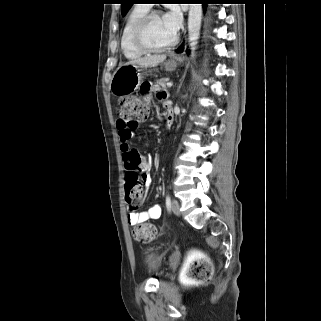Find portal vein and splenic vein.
Here are the masks:
<instances>
[{"label": "portal vein and splenic vein", "instance_id": "1", "mask_svg": "<svg viewBox=\"0 0 321 321\" xmlns=\"http://www.w3.org/2000/svg\"><path fill=\"white\" fill-rule=\"evenodd\" d=\"M172 83L171 82H169V83H167V87H172Z\"/></svg>", "mask_w": 321, "mask_h": 321}]
</instances>
